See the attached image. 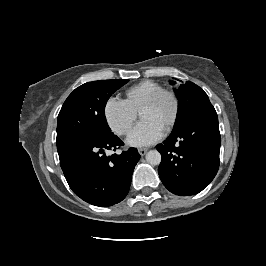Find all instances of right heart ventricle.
Masks as SVG:
<instances>
[{
  "label": "right heart ventricle",
  "instance_id": "right-heart-ventricle-1",
  "mask_svg": "<svg viewBox=\"0 0 266 266\" xmlns=\"http://www.w3.org/2000/svg\"><path fill=\"white\" fill-rule=\"evenodd\" d=\"M163 89L164 87L157 82L142 81L126 91V101L135 111H140L147 100Z\"/></svg>",
  "mask_w": 266,
  "mask_h": 266
}]
</instances>
